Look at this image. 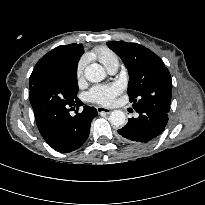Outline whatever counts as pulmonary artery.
Here are the masks:
<instances>
[{
    "mask_svg": "<svg viewBox=\"0 0 205 205\" xmlns=\"http://www.w3.org/2000/svg\"><path fill=\"white\" fill-rule=\"evenodd\" d=\"M118 68H119V64H115L113 66H111L109 69H108V72L110 74H115L117 71H118Z\"/></svg>",
    "mask_w": 205,
    "mask_h": 205,
    "instance_id": "pulmonary-artery-1",
    "label": "pulmonary artery"
}]
</instances>
